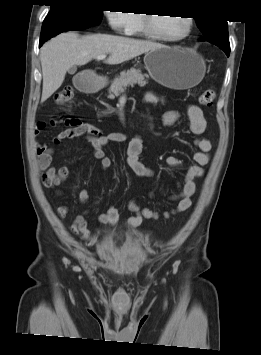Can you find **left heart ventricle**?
Here are the masks:
<instances>
[{
    "label": "left heart ventricle",
    "instance_id": "1",
    "mask_svg": "<svg viewBox=\"0 0 261 355\" xmlns=\"http://www.w3.org/2000/svg\"><path fill=\"white\" fill-rule=\"evenodd\" d=\"M153 24L155 29L167 37H178L187 29V22L184 17L154 16Z\"/></svg>",
    "mask_w": 261,
    "mask_h": 355
}]
</instances>
